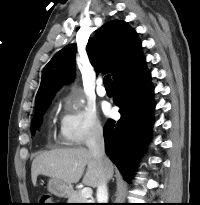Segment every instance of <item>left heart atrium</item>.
I'll return each instance as SVG.
<instances>
[{
  "instance_id": "39dd6f15",
  "label": "left heart atrium",
  "mask_w": 200,
  "mask_h": 205,
  "mask_svg": "<svg viewBox=\"0 0 200 205\" xmlns=\"http://www.w3.org/2000/svg\"><path fill=\"white\" fill-rule=\"evenodd\" d=\"M106 113L109 114V110H107Z\"/></svg>"
}]
</instances>
